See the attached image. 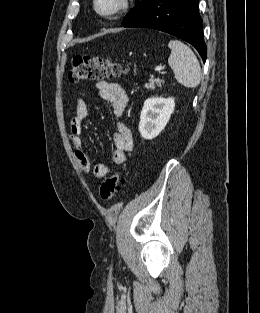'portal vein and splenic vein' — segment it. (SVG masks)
<instances>
[{
  "instance_id": "18ae733b",
  "label": "portal vein and splenic vein",
  "mask_w": 260,
  "mask_h": 313,
  "mask_svg": "<svg viewBox=\"0 0 260 313\" xmlns=\"http://www.w3.org/2000/svg\"><path fill=\"white\" fill-rule=\"evenodd\" d=\"M162 69H164V66H163V67L161 66V67H157V68H156V70H162Z\"/></svg>"
}]
</instances>
